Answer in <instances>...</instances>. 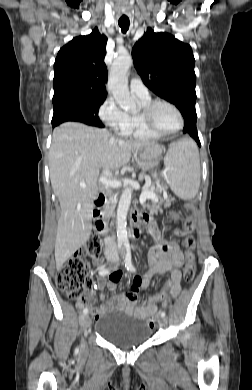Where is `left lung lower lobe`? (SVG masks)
<instances>
[{
  "label": "left lung lower lobe",
  "mask_w": 252,
  "mask_h": 390,
  "mask_svg": "<svg viewBox=\"0 0 252 390\" xmlns=\"http://www.w3.org/2000/svg\"><path fill=\"white\" fill-rule=\"evenodd\" d=\"M185 125L183 128V133L189 134L193 137L198 145L200 146V141L198 138L197 128H196V116H186L184 117Z\"/></svg>",
  "instance_id": "0a47b994"
}]
</instances>
